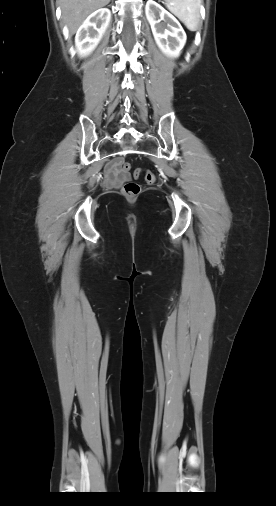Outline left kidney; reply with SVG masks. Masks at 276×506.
I'll use <instances>...</instances> for the list:
<instances>
[{
  "label": "left kidney",
  "mask_w": 276,
  "mask_h": 506,
  "mask_svg": "<svg viewBox=\"0 0 276 506\" xmlns=\"http://www.w3.org/2000/svg\"><path fill=\"white\" fill-rule=\"evenodd\" d=\"M145 13L160 50L169 57H178L187 39L178 20L153 0L147 1Z\"/></svg>",
  "instance_id": "1"
}]
</instances>
